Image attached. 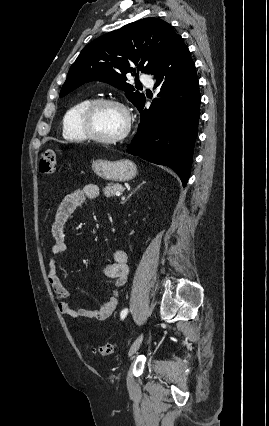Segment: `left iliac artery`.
I'll list each match as a JSON object with an SVG mask.
<instances>
[{"mask_svg": "<svg viewBox=\"0 0 269 426\" xmlns=\"http://www.w3.org/2000/svg\"><path fill=\"white\" fill-rule=\"evenodd\" d=\"M127 314H128V309L127 308L123 309L120 313L121 319L123 320Z\"/></svg>", "mask_w": 269, "mask_h": 426, "instance_id": "obj_1", "label": "left iliac artery"}]
</instances>
